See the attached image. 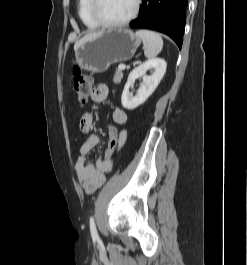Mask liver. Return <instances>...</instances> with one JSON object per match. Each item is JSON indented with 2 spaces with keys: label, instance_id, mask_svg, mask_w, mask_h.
Here are the masks:
<instances>
[{
  "label": "liver",
  "instance_id": "obj_1",
  "mask_svg": "<svg viewBox=\"0 0 247 265\" xmlns=\"http://www.w3.org/2000/svg\"><path fill=\"white\" fill-rule=\"evenodd\" d=\"M99 33H90L86 36H84L83 38H81L79 41H77L74 45V50L77 48L78 45H80L82 42L86 41L87 39H90L92 37L97 36Z\"/></svg>",
  "mask_w": 247,
  "mask_h": 265
}]
</instances>
